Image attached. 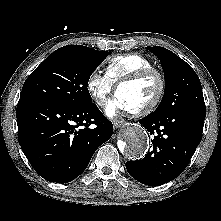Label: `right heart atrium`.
Segmentation results:
<instances>
[{
	"label": "right heart atrium",
	"instance_id": "right-heart-atrium-1",
	"mask_svg": "<svg viewBox=\"0 0 221 221\" xmlns=\"http://www.w3.org/2000/svg\"><path fill=\"white\" fill-rule=\"evenodd\" d=\"M86 88L97 105L103 107L106 105L110 94L113 92L114 84L106 74H102L99 71H93L87 79Z\"/></svg>",
	"mask_w": 221,
	"mask_h": 221
}]
</instances>
